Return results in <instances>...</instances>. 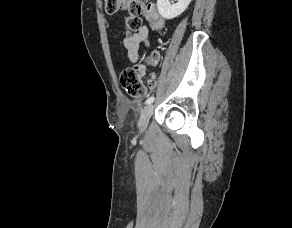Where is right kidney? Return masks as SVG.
Here are the masks:
<instances>
[{
	"label": "right kidney",
	"instance_id": "right-kidney-1",
	"mask_svg": "<svg viewBox=\"0 0 292 228\" xmlns=\"http://www.w3.org/2000/svg\"><path fill=\"white\" fill-rule=\"evenodd\" d=\"M192 0H177L171 4L169 0H157V8L160 15L165 19H173L182 14Z\"/></svg>",
	"mask_w": 292,
	"mask_h": 228
}]
</instances>
